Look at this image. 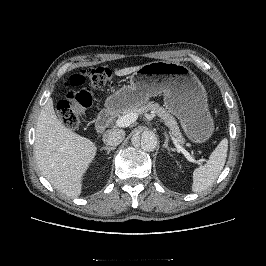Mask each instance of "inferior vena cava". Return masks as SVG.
I'll use <instances>...</instances> for the list:
<instances>
[{
  "label": "inferior vena cava",
  "instance_id": "602c4592",
  "mask_svg": "<svg viewBox=\"0 0 266 266\" xmlns=\"http://www.w3.org/2000/svg\"><path fill=\"white\" fill-rule=\"evenodd\" d=\"M125 138V131L122 129H111L104 133L103 142L109 146L119 145Z\"/></svg>",
  "mask_w": 266,
  "mask_h": 266
}]
</instances>
